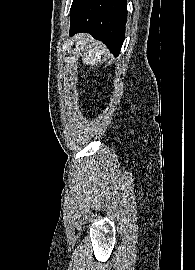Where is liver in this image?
I'll return each instance as SVG.
<instances>
[{
	"label": "liver",
	"mask_w": 195,
	"mask_h": 270,
	"mask_svg": "<svg viewBox=\"0 0 195 270\" xmlns=\"http://www.w3.org/2000/svg\"><path fill=\"white\" fill-rule=\"evenodd\" d=\"M75 47L82 51V61L84 65L94 66L101 63V58L107 53L106 47L94 40L90 35L78 34L75 36Z\"/></svg>",
	"instance_id": "liver-1"
}]
</instances>
